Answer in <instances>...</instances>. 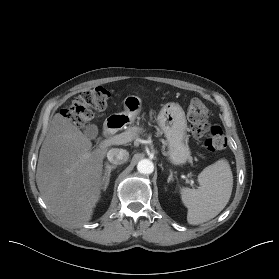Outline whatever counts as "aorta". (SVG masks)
Returning <instances> with one entry per match:
<instances>
[{"label":"aorta","instance_id":"762f6f07","mask_svg":"<svg viewBox=\"0 0 279 279\" xmlns=\"http://www.w3.org/2000/svg\"><path fill=\"white\" fill-rule=\"evenodd\" d=\"M137 170L141 174H151L154 171L153 162L149 159H142L137 164Z\"/></svg>","mask_w":279,"mask_h":279}]
</instances>
